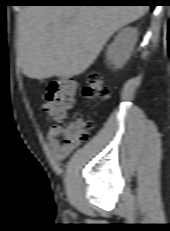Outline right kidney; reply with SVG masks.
<instances>
[{"label": "right kidney", "instance_id": "right-kidney-1", "mask_svg": "<svg viewBox=\"0 0 170 231\" xmlns=\"http://www.w3.org/2000/svg\"><path fill=\"white\" fill-rule=\"evenodd\" d=\"M137 39L138 32L136 28L127 27L123 29L108 47L106 51L107 60L115 68H121L129 59Z\"/></svg>", "mask_w": 170, "mask_h": 231}]
</instances>
